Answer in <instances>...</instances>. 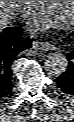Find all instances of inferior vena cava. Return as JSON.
I'll use <instances>...</instances> for the list:
<instances>
[{
	"mask_svg": "<svg viewBox=\"0 0 74 122\" xmlns=\"http://www.w3.org/2000/svg\"><path fill=\"white\" fill-rule=\"evenodd\" d=\"M28 8H30V7H28ZM22 13H23L24 17H28L31 14L30 9H26V8H23Z\"/></svg>",
	"mask_w": 74,
	"mask_h": 122,
	"instance_id": "obj_1",
	"label": "inferior vena cava"
}]
</instances>
